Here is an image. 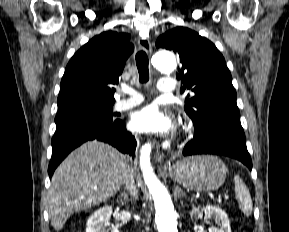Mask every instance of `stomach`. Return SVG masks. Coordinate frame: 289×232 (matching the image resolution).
Returning <instances> with one entry per match:
<instances>
[{
    "mask_svg": "<svg viewBox=\"0 0 289 232\" xmlns=\"http://www.w3.org/2000/svg\"><path fill=\"white\" fill-rule=\"evenodd\" d=\"M227 167L215 156H195L169 168L170 178L192 191H214L225 181Z\"/></svg>",
    "mask_w": 289,
    "mask_h": 232,
    "instance_id": "obj_1",
    "label": "stomach"
}]
</instances>
